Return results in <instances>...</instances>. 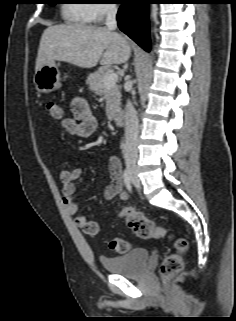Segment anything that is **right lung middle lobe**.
Segmentation results:
<instances>
[{
  "label": "right lung middle lobe",
  "mask_w": 236,
  "mask_h": 321,
  "mask_svg": "<svg viewBox=\"0 0 236 321\" xmlns=\"http://www.w3.org/2000/svg\"><path fill=\"white\" fill-rule=\"evenodd\" d=\"M55 3H50V5H54Z\"/></svg>",
  "instance_id": "dd1d6c3e"
}]
</instances>
